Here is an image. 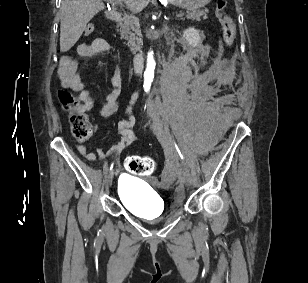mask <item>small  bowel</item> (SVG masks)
<instances>
[{
    "mask_svg": "<svg viewBox=\"0 0 308 283\" xmlns=\"http://www.w3.org/2000/svg\"><path fill=\"white\" fill-rule=\"evenodd\" d=\"M109 50V44L106 40L98 38L95 39L91 44H82L78 47V54L81 57H92L96 54L104 53ZM59 79L61 84L66 89H71L77 92L78 99L81 102V110L88 111L95 105V100L85 89V85L81 80L78 63L70 58L63 57L60 61L58 69ZM113 89L106 96L104 102L99 107V113L104 118H109L118 107V99L121 94V75L117 71L112 78ZM137 99L136 95H133L129 105L126 108V118L119 121L117 124L118 133L121 136V141L111 150L105 151L101 148L96 151H90L84 144L83 140L77 141L78 152L89 161H93L96 157L105 158L110 155L116 154L124 148L130 146L136 139L137 136L133 132L132 127L135 124V118L133 115V106Z\"/></svg>",
    "mask_w": 308,
    "mask_h": 283,
    "instance_id": "1",
    "label": "small bowel"
}]
</instances>
